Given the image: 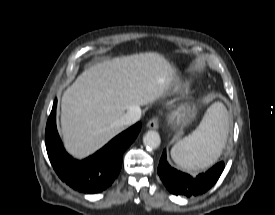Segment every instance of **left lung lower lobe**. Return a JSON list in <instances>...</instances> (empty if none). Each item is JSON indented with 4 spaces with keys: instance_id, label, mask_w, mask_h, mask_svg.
Wrapping results in <instances>:
<instances>
[{
    "instance_id": "0a47b994",
    "label": "left lung lower lobe",
    "mask_w": 275,
    "mask_h": 215,
    "mask_svg": "<svg viewBox=\"0 0 275 215\" xmlns=\"http://www.w3.org/2000/svg\"><path fill=\"white\" fill-rule=\"evenodd\" d=\"M223 169L224 162H219L208 171L191 176L172 168L166 161L164 151L158 166V174L169 192L191 197L208 191L217 182Z\"/></svg>"
}]
</instances>
